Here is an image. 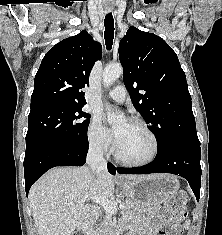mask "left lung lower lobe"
I'll use <instances>...</instances> for the list:
<instances>
[{"instance_id": "left-lung-lower-lobe-1", "label": "left lung lower lobe", "mask_w": 222, "mask_h": 235, "mask_svg": "<svg viewBox=\"0 0 222 235\" xmlns=\"http://www.w3.org/2000/svg\"><path fill=\"white\" fill-rule=\"evenodd\" d=\"M120 174L171 173L185 178L196 199L200 198L201 166L200 144L175 142L157 150L150 164L137 168H117Z\"/></svg>"}]
</instances>
